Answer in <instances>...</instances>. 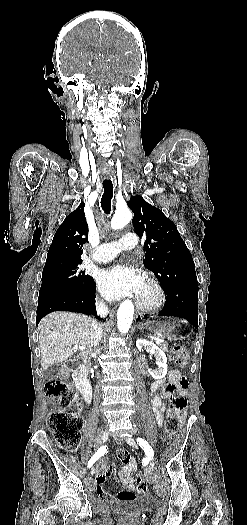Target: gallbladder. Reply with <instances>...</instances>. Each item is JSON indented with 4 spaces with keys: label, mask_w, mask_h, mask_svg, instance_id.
<instances>
[{
    "label": "gallbladder",
    "mask_w": 247,
    "mask_h": 525,
    "mask_svg": "<svg viewBox=\"0 0 247 525\" xmlns=\"http://www.w3.org/2000/svg\"><path fill=\"white\" fill-rule=\"evenodd\" d=\"M42 373L47 375L50 380L57 379L58 375H62L61 364L55 363V365L44 366L42 368Z\"/></svg>",
    "instance_id": "obj_1"
}]
</instances>
